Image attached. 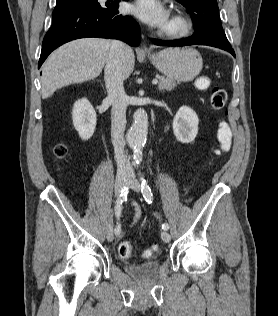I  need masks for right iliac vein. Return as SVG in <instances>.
<instances>
[{
    "mask_svg": "<svg viewBox=\"0 0 278 316\" xmlns=\"http://www.w3.org/2000/svg\"><path fill=\"white\" fill-rule=\"evenodd\" d=\"M127 180H128V177L126 174L120 173L117 175L116 180H115V186H114L115 196L117 199H119L121 190L123 186L127 183ZM106 237L109 242L113 241L114 239L113 222L111 218L106 227Z\"/></svg>",
    "mask_w": 278,
    "mask_h": 316,
    "instance_id": "63e3f726",
    "label": "right iliac vein"
}]
</instances>
